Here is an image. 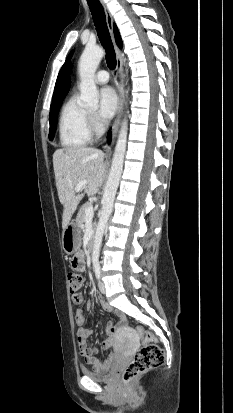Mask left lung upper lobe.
I'll use <instances>...</instances> for the list:
<instances>
[{"label":"left lung upper lobe","instance_id":"obj_1","mask_svg":"<svg viewBox=\"0 0 233 413\" xmlns=\"http://www.w3.org/2000/svg\"><path fill=\"white\" fill-rule=\"evenodd\" d=\"M71 56H72V52L69 54V56L67 57L64 65H63L62 68L60 69V72H59V75H58V78H57V81H56V85H55L54 96L56 95V93H57V91H58V87H59V83H60V78H61L63 72L65 71V68H66V66H67V64H68Z\"/></svg>","mask_w":233,"mask_h":413}]
</instances>
